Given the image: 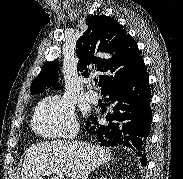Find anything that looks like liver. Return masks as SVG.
I'll return each mask as SVG.
<instances>
[{"label":"liver","instance_id":"obj_1","mask_svg":"<svg viewBox=\"0 0 183 179\" xmlns=\"http://www.w3.org/2000/svg\"><path fill=\"white\" fill-rule=\"evenodd\" d=\"M111 159L109 150L85 142H42L28 148L20 179H43L44 173L52 169L62 170L70 179H87L95 168Z\"/></svg>","mask_w":183,"mask_h":179}]
</instances>
